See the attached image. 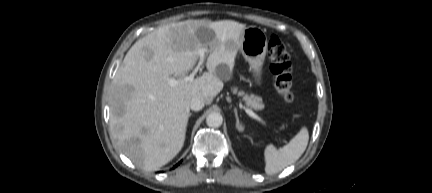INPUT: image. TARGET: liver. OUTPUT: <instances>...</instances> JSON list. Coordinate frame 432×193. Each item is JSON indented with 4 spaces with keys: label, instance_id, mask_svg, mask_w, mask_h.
Segmentation results:
<instances>
[{
    "label": "liver",
    "instance_id": "liver-1",
    "mask_svg": "<svg viewBox=\"0 0 432 193\" xmlns=\"http://www.w3.org/2000/svg\"><path fill=\"white\" fill-rule=\"evenodd\" d=\"M245 24L207 19L162 26L139 39L127 52L112 81L110 130L119 149L138 167L158 170L182 149L190 102L200 95L210 104L230 79ZM213 32L202 41L204 31ZM209 51L207 72L192 82L185 75ZM227 74L220 78L218 68ZM177 77L175 87L168 78Z\"/></svg>",
    "mask_w": 432,
    "mask_h": 193
}]
</instances>
